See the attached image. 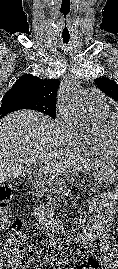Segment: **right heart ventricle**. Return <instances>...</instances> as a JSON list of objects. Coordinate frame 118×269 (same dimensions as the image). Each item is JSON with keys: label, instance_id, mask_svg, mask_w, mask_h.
Wrapping results in <instances>:
<instances>
[{"label": "right heart ventricle", "instance_id": "1", "mask_svg": "<svg viewBox=\"0 0 118 269\" xmlns=\"http://www.w3.org/2000/svg\"><path fill=\"white\" fill-rule=\"evenodd\" d=\"M92 112L101 122L113 113L107 107ZM79 150L86 154L118 157V154L103 136L102 130L89 134L87 140L79 147Z\"/></svg>", "mask_w": 118, "mask_h": 269}]
</instances>
